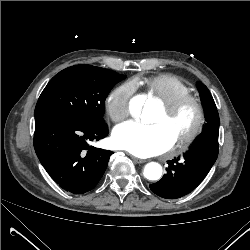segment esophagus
<instances>
[{"mask_svg": "<svg viewBox=\"0 0 250 250\" xmlns=\"http://www.w3.org/2000/svg\"><path fill=\"white\" fill-rule=\"evenodd\" d=\"M132 160H133L135 163H138V164H141V163H145V162H146V160L137 158V157H135V156H132Z\"/></svg>", "mask_w": 250, "mask_h": 250, "instance_id": "34e87169", "label": "esophagus"}]
</instances>
